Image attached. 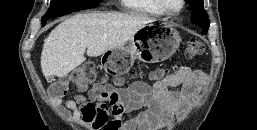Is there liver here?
Instances as JSON below:
<instances>
[{"mask_svg": "<svg viewBox=\"0 0 257 130\" xmlns=\"http://www.w3.org/2000/svg\"><path fill=\"white\" fill-rule=\"evenodd\" d=\"M155 19L122 13L77 14L56 26L46 38L41 69L46 79L64 77L89 57L121 48Z\"/></svg>", "mask_w": 257, "mask_h": 130, "instance_id": "1", "label": "liver"}]
</instances>
